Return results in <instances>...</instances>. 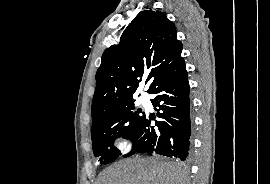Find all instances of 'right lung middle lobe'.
Here are the masks:
<instances>
[{
	"label": "right lung middle lobe",
	"mask_w": 270,
	"mask_h": 184,
	"mask_svg": "<svg viewBox=\"0 0 270 184\" xmlns=\"http://www.w3.org/2000/svg\"><path fill=\"white\" fill-rule=\"evenodd\" d=\"M133 102L134 100L130 101L92 124V147L101 164L115 161L121 155L113 145L115 139L123 137L132 140L145 120V113L136 109Z\"/></svg>",
	"instance_id": "right-lung-middle-lobe-1"
}]
</instances>
